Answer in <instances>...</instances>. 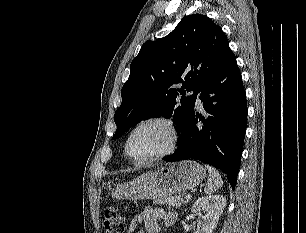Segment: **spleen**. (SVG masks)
I'll return each mask as SVG.
<instances>
[{
  "label": "spleen",
  "instance_id": "1",
  "mask_svg": "<svg viewBox=\"0 0 306 233\" xmlns=\"http://www.w3.org/2000/svg\"><path fill=\"white\" fill-rule=\"evenodd\" d=\"M205 167L208 169L209 178L204 188V192L210 195L223 186V181L219 172L215 168L209 165H205Z\"/></svg>",
  "mask_w": 306,
  "mask_h": 233
}]
</instances>
